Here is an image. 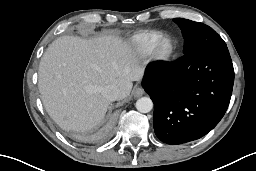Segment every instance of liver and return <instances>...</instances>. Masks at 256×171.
I'll use <instances>...</instances> for the list:
<instances>
[{
	"label": "liver",
	"instance_id": "liver-1",
	"mask_svg": "<svg viewBox=\"0 0 256 171\" xmlns=\"http://www.w3.org/2000/svg\"><path fill=\"white\" fill-rule=\"evenodd\" d=\"M142 75L135 53L118 37L62 36L41 58L38 87L46 111L62 129L90 131L102 122L110 104L103 87H117L121 100Z\"/></svg>",
	"mask_w": 256,
	"mask_h": 171
}]
</instances>
